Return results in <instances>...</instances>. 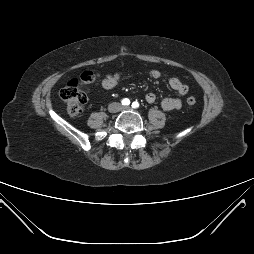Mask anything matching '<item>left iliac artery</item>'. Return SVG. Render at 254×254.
Wrapping results in <instances>:
<instances>
[{
  "instance_id": "1",
  "label": "left iliac artery",
  "mask_w": 254,
  "mask_h": 254,
  "mask_svg": "<svg viewBox=\"0 0 254 254\" xmlns=\"http://www.w3.org/2000/svg\"><path fill=\"white\" fill-rule=\"evenodd\" d=\"M132 107H133V108H138V107H139V103H138L137 101H134V102L132 103Z\"/></svg>"
}]
</instances>
